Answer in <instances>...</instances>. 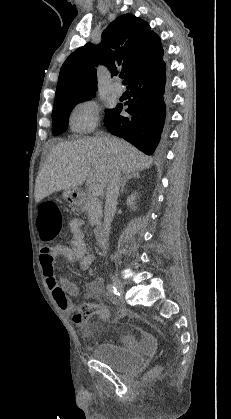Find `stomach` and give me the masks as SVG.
Segmentation results:
<instances>
[{"label":"stomach","mask_w":231,"mask_h":419,"mask_svg":"<svg viewBox=\"0 0 231 419\" xmlns=\"http://www.w3.org/2000/svg\"><path fill=\"white\" fill-rule=\"evenodd\" d=\"M63 198L72 205L81 203V194L77 188L68 189L63 192Z\"/></svg>","instance_id":"stomach-1"}]
</instances>
